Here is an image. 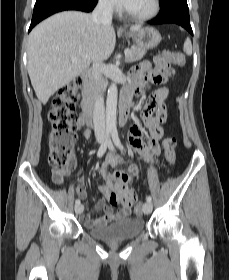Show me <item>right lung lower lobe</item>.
<instances>
[{
  "instance_id": "1",
  "label": "right lung lower lobe",
  "mask_w": 229,
  "mask_h": 280,
  "mask_svg": "<svg viewBox=\"0 0 229 280\" xmlns=\"http://www.w3.org/2000/svg\"><path fill=\"white\" fill-rule=\"evenodd\" d=\"M98 0H36L29 31L48 16L64 10L90 12Z\"/></svg>"
}]
</instances>
